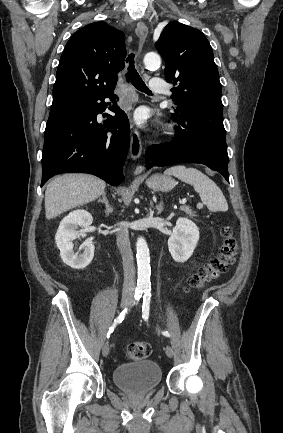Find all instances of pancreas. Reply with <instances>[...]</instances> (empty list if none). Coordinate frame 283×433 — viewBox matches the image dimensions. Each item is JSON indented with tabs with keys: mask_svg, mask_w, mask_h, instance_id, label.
I'll list each match as a JSON object with an SVG mask.
<instances>
[{
	"mask_svg": "<svg viewBox=\"0 0 283 433\" xmlns=\"http://www.w3.org/2000/svg\"><path fill=\"white\" fill-rule=\"evenodd\" d=\"M182 210H184V212H187V214H190V217H196V214H194L190 206H182Z\"/></svg>",
	"mask_w": 283,
	"mask_h": 433,
	"instance_id": "obj_1",
	"label": "pancreas"
}]
</instances>
